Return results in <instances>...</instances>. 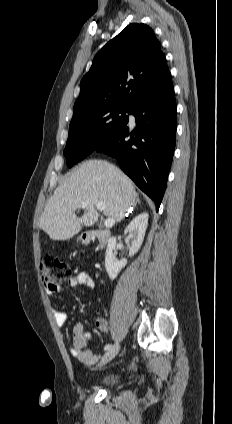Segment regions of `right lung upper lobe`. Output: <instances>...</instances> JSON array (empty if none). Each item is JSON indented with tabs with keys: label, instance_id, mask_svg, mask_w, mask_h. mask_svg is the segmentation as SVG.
Segmentation results:
<instances>
[{
	"label": "right lung upper lobe",
	"instance_id": "obj_1",
	"mask_svg": "<svg viewBox=\"0 0 232 424\" xmlns=\"http://www.w3.org/2000/svg\"><path fill=\"white\" fill-rule=\"evenodd\" d=\"M168 72L153 30L145 24L132 23L96 54L91 69L81 80L73 117L93 107L132 106Z\"/></svg>",
	"mask_w": 232,
	"mask_h": 424
}]
</instances>
